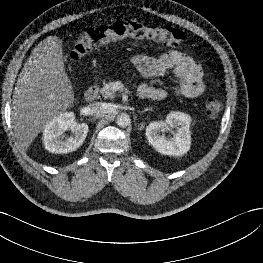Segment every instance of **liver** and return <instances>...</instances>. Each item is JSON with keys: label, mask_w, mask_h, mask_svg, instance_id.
<instances>
[{"label": "liver", "mask_w": 263, "mask_h": 263, "mask_svg": "<svg viewBox=\"0 0 263 263\" xmlns=\"http://www.w3.org/2000/svg\"><path fill=\"white\" fill-rule=\"evenodd\" d=\"M73 101L62 40L49 36L33 49L14 89L12 120L20 147L28 149L48 122L66 111Z\"/></svg>", "instance_id": "obj_1"}]
</instances>
